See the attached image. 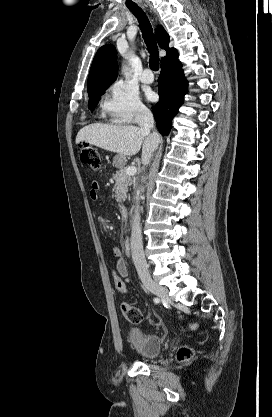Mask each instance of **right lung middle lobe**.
I'll list each match as a JSON object with an SVG mask.
<instances>
[{
	"label": "right lung middle lobe",
	"instance_id": "1",
	"mask_svg": "<svg viewBox=\"0 0 272 417\" xmlns=\"http://www.w3.org/2000/svg\"><path fill=\"white\" fill-rule=\"evenodd\" d=\"M106 88L104 89H99L93 92H89V108L91 109V111L94 110V108L97 106L99 100H100V96L105 92Z\"/></svg>",
	"mask_w": 272,
	"mask_h": 417
}]
</instances>
